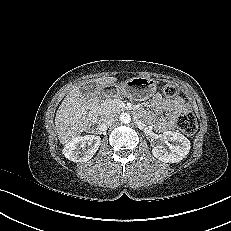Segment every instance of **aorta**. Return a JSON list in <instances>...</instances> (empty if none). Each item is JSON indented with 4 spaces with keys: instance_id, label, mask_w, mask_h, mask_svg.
<instances>
[{
    "instance_id": "1",
    "label": "aorta",
    "mask_w": 231,
    "mask_h": 231,
    "mask_svg": "<svg viewBox=\"0 0 231 231\" xmlns=\"http://www.w3.org/2000/svg\"><path fill=\"white\" fill-rule=\"evenodd\" d=\"M120 121L124 124H128L131 121V116L128 113H122L120 115Z\"/></svg>"
}]
</instances>
